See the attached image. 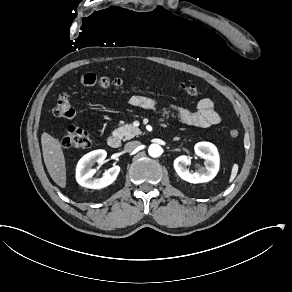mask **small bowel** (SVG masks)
Here are the masks:
<instances>
[{
	"label": "small bowel",
	"mask_w": 292,
	"mask_h": 292,
	"mask_svg": "<svg viewBox=\"0 0 292 292\" xmlns=\"http://www.w3.org/2000/svg\"><path fill=\"white\" fill-rule=\"evenodd\" d=\"M129 103L137 108L148 110L161 109L167 113L176 115L183 123L195 127H208L216 125L221 118L215 110L214 102L209 98L201 99L196 110H189L183 107L161 105L157 101L143 96L133 95L129 98Z\"/></svg>",
	"instance_id": "small-bowel-1"
}]
</instances>
